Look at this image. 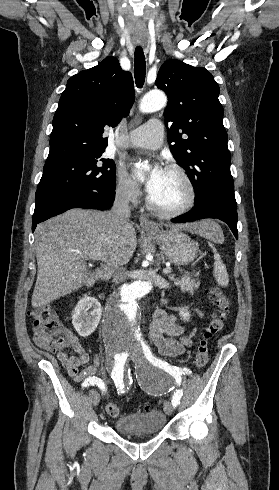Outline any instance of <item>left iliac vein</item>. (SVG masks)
<instances>
[{
	"label": "left iliac vein",
	"instance_id": "4c4485c4",
	"mask_svg": "<svg viewBox=\"0 0 279 490\" xmlns=\"http://www.w3.org/2000/svg\"><path fill=\"white\" fill-rule=\"evenodd\" d=\"M129 359H130V360H134V356H133V355H130V356H129ZM164 409H165V412H166L168 415H171V414L173 413V407H172V405H171L170 403H167V404L165 405V408H164Z\"/></svg>",
	"mask_w": 279,
	"mask_h": 490
}]
</instances>
